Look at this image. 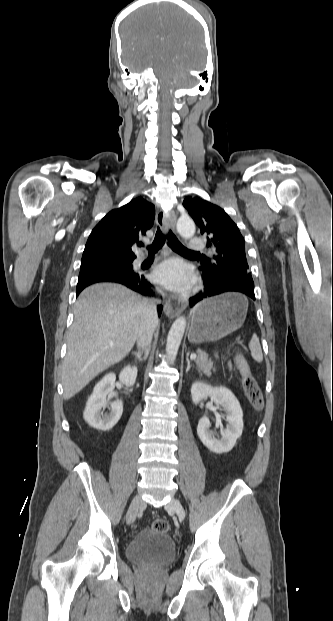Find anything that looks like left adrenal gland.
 Returning <instances> with one entry per match:
<instances>
[{
	"mask_svg": "<svg viewBox=\"0 0 333 621\" xmlns=\"http://www.w3.org/2000/svg\"><path fill=\"white\" fill-rule=\"evenodd\" d=\"M186 361H187L186 373H188V372H189L190 368H194V369H196L198 372H200V370H199L197 367H195V366H194V364H190V360H189V358H188V355H187V357H186Z\"/></svg>",
	"mask_w": 333,
	"mask_h": 621,
	"instance_id": "1",
	"label": "left adrenal gland"
}]
</instances>
